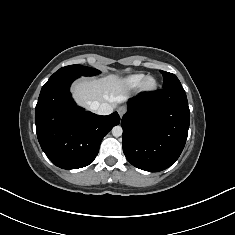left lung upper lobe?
Segmentation results:
<instances>
[{
	"mask_svg": "<svg viewBox=\"0 0 235 235\" xmlns=\"http://www.w3.org/2000/svg\"><path fill=\"white\" fill-rule=\"evenodd\" d=\"M160 72L164 77L163 88L182 87L180 81L174 74L162 70Z\"/></svg>",
	"mask_w": 235,
	"mask_h": 235,
	"instance_id": "left-lung-upper-lobe-1",
	"label": "left lung upper lobe"
}]
</instances>
